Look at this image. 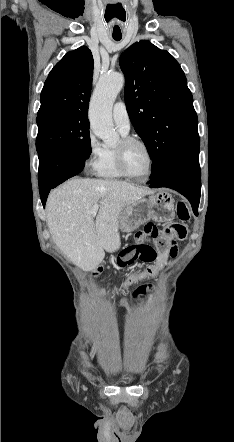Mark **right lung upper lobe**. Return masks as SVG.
<instances>
[{"label": "right lung upper lobe", "instance_id": "right-lung-upper-lobe-1", "mask_svg": "<svg viewBox=\"0 0 234 442\" xmlns=\"http://www.w3.org/2000/svg\"><path fill=\"white\" fill-rule=\"evenodd\" d=\"M93 64L86 46L66 53L45 81L37 117L56 113L88 115Z\"/></svg>", "mask_w": 234, "mask_h": 442}]
</instances>
